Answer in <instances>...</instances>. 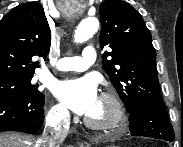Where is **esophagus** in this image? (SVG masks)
<instances>
[{"instance_id": "obj_1", "label": "esophagus", "mask_w": 183, "mask_h": 147, "mask_svg": "<svg viewBox=\"0 0 183 147\" xmlns=\"http://www.w3.org/2000/svg\"><path fill=\"white\" fill-rule=\"evenodd\" d=\"M78 144H79L80 146H86V145H87V144L84 143V142H78Z\"/></svg>"}]
</instances>
